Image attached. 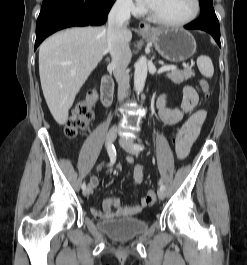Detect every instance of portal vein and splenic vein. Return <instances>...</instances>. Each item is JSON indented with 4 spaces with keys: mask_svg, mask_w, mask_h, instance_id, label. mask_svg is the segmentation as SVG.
<instances>
[{
    "mask_svg": "<svg viewBox=\"0 0 247 265\" xmlns=\"http://www.w3.org/2000/svg\"><path fill=\"white\" fill-rule=\"evenodd\" d=\"M177 67L174 65H170V66H162L159 70L158 73H162L164 71H168V70H176Z\"/></svg>",
    "mask_w": 247,
    "mask_h": 265,
    "instance_id": "1",
    "label": "portal vein and splenic vein"
}]
</instances>
